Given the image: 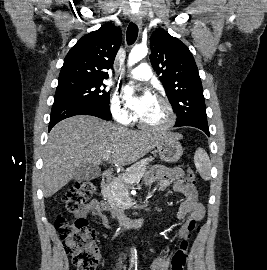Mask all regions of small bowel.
Masks as SVG:
<instances>
[{
    "label": "small bowel",
    "instance_id": "1",
    "mask_svg": "<svg viewBox=\"0 0 267 270\" xmlns=\"http://www.w3.org/2000/svg\"><path fill=\"white\" fill-rule=\"evenodd\" d=\"M184 172L181 168H165L162 166H154L146 176V183L148 185L154 182H159V190L164 191L169 186H173L174 191L184 196L181 203L177 218L185 220L178 230V234L182 239L181 243L189 235V224L192 220L199 221L204 215V208L198 199V192L194 185L187 184L184 179ZM107 205L104 202L91 200L82 205L75 214V219H85L88 215L97 216L101 220V224L105 229L111 227L109 218L106 215ZM171 263L170 256H156L151 263V270H168Z\"/></svg>",
    "mask_w": 267,
    "mask_h": 270
}]
</instances>
